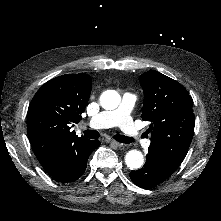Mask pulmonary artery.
<instances>
[{"mask_svg": "<svg viewBox=\"0 0 221 221\" xmlns=\"http://www.w3.org/2000/svg\"><path fill=\"white\" fill-rule=\"evenodd\" d=\"M120 109L113 107L105 111L93 112L88 119L92 128L111 127L119 124L122 134L129 139L138 135L139 129L131 119V110L136 107L137 102L133 96L127 95L121 99Z\"/></svg>", "mask_w": 221, "mask_h": 221, "instance_id": "1", "label": "pulmonary artery"}]
</instances>
